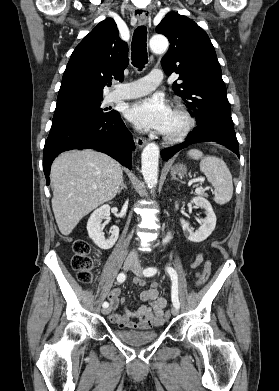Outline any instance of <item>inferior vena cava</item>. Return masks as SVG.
<instances>
[{
	"instance_id": "obj_1",
	"label": "inferior vena cava",
	"mask_w": 279,
	"mask_h": 391,
	"mask_svg": "<svg viewBox=\"0 0 279 391\" xmlns=\"http://www.w3.org/2000/svg\"><path fill=\"white\" fill-rule=\"evenodd\" d=\"M135 254V251L133 250L132 252H131V255H134Z\"/></svg>"
}]
</instances>
